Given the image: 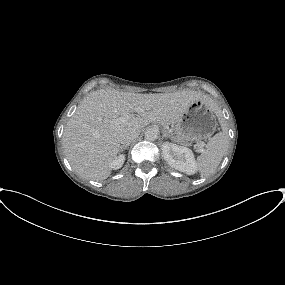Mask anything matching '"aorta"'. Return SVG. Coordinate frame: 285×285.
Instances as JSON below:
<instances>
[{
    "label": "aorta",
    "mask_w": 285,
    "mask_h": 285,
    "mask_svg": "<svg viewBox=\"0 0 285 285\" xmlns=\"http://www.w3.org/2000/svg\"><path fill=\"white\" fill-rule=\"evenodd\" d=\"M158 135H159V132L154 127L148 128L145 131V138L148 141H155L156 139H158Z\"/></svg>",
    "instance_id": "aorta-1"
}]
</instances>
